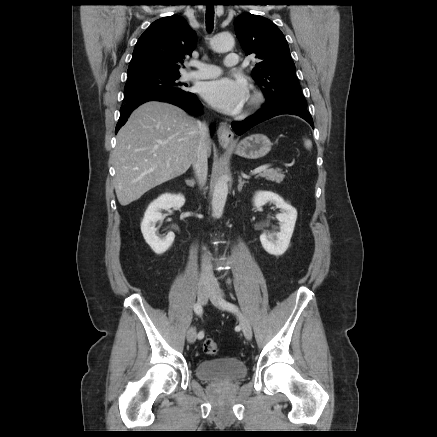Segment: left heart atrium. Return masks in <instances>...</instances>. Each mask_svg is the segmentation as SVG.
Here are the masks:
<instances>
[{
	"mask_svg": "<svg viewBox=\"0 0 437 437\" xmlns=\"http://www.w3.org/2000/svg\"><path fill=\"white\" fill-rule=\"evenodd\" d=\"M201 94L216 109L227 114H236L248 98V88L244 80L220 78L206 82Z\"/></svg>",
	"mask_w": 437,
	"mask_h": 437,
	"instance_id": "left-heart-atrium-1",
	"label": "left heart atrium"
}]
</instances>
